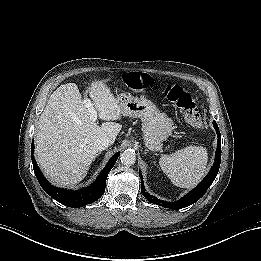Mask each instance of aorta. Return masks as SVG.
<instances>
[{"instance_id": "1", "label": "aorta", "mask_w": 261, "mask_h": 261, "mask_svg": "<svg viewBox=\"0 0 261 261\" xmlns=\"http://www.w3.org/2000/svg\"><path fill=\"white\" fill-rule=\"evenodd\" d=\"M120 161L125 166H131L136 161V153L132 149H126L120 155Z\"/></svg>"}]
</instances>
